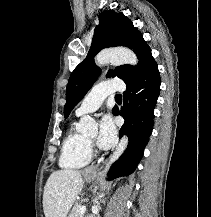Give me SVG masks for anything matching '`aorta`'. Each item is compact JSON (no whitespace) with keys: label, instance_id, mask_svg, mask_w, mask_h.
Wrapping results in <instances>:
<instances>
[{"label":"aorta","instance_id":"1","mask_svg":"<svg viewBox=\"0 0 211 217\" xmlns=\"http://www.w3.org/2000/svg\"><path fill=\"white\" fill-rule=\"evenodd\" d=\"M95 62L98 65H104L106 63L112 64H130V65H137L138 59L137 56L129 49L125 48H118L112 50H106L100 52L95 57ZM95 129L94 120L90 116H84L80 119L79 123V130L82 132H92ZM128 138L127 136L122 137L119 144L116 147L115 152L111 155L108 163L106 164L105 169L103 170V176L106 175L107 171L111 164L116 161L121 154L124 152L127 146Z\"/></svg>","mask_w":211,"mask_h":217}]
</instances>
